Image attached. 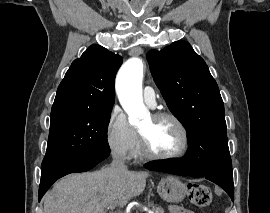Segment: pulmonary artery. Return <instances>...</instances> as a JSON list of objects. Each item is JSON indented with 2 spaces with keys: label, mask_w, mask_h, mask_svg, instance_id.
<instances>
[{
  "label": "pulmonary artery",
  "mask_w": 270,
  "mask_h": 213,
  "mask_svg": "<svg viewBox=\"0 0 270 213\" xmlns=\"http://www.w3.org/2000/svg\"><path fill=\"white\" fill-rule=\"evenodd\" d=\"M143 98L146 104L150 107H154L156 105V92L152 87H145L143 92Z\"/></svg>",
  "instance_id": "obj_1"
}]
</instances>
